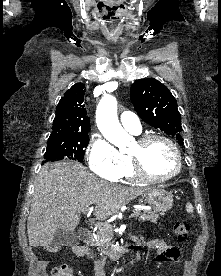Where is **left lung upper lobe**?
I'll return each instance as SVG.
<instances>
[{
    "mask_svg": "<svg viewBox=\"0 0 221 276\" xmlns=\"http://www.w3.org/2000/svg\"><path fill=\"white\" fill-rule=\"evenodd\" d=\"M130 98L143 121L176 137L178 143L183 144L177 102L165 85L154 78L137 80L131 86Z\"/></svg>",
    "mask_w": 221,
    "mask_h": 276,
    "instance_id": "5c2ea615",
    "label": "left lung upper lobe"
}]
</instances>
